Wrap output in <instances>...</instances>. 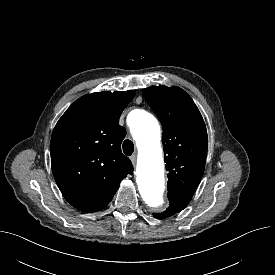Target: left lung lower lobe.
Masks as SVG:
<instances>
[{
	"instance_id": "0a47b994",
	"label": "left lung lower lobe",
	"mask_w": 275,
	"mask_h": 275,
	"mask_svg": "<svg viewBox=\"0 0 275 275\" xmlns=\"http://www.w3.org/2000/svg\"><path fill=\"white\" fill-rule=\"evenodd\" d=\"M169 198V207L164 213H159L156 214L154 213L153 215L156 218H165L172 216L180 211H182L187 204L190 202L192 196L190 195H170L168 196Z\"/></svg>"
}]
</instances>
